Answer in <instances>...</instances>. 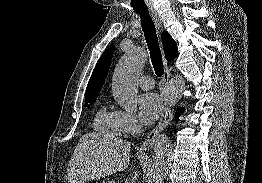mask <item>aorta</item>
Instances as JSON below:
<instances>
[{
  "label": "aorta",
  "instance_id": "762f6f07",
  "mask_svg": "<svg viewBox=\"0 0 262 183\" xmlns=\"http://www.w3.org/2000/svg\"><path fill=\"white\" fill-rule=\"evenodd\" d=\"M147 60L146 52L141 48H134L128 51L116 66L112 92L116 101L124 110L133 112L137 109V76L141 72ZM185 81L181 76H176L167 84L162 98L165 104L175 105L183 95ZM155 152V177L159 180L165 176L171 166V143L165 134H161L154 147Z\"/></svg>",
  "mask_w": 262,
  "mask_h": 183
}]
</instances>
